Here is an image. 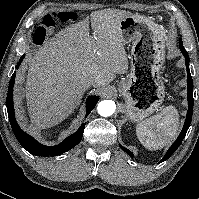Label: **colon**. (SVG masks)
Returning <instances> with one entry per match:
<instances>
[{"label":"colon","mask_w":199,"mask_h":199,"mask_svg":"<svg viewBox=\"0 0 199 199\" xmlns=\"http://www.w3.org/2000/svg\"><path fill=\"white\" fill-rule=\"evenodd\" d=\"M72 19V12H51L47 14L36 31V39L45 36L48 30L57 27L60 23L70 22Z\"/></svg>","instance_id":"obj_1"}]
</instances>
